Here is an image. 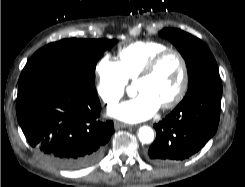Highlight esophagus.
<instances>
[{"label":"esophagus","mask_w":245,"mask_h":187,"mask_svg":"<svg viewBox=\"0 0 245 187\" xmlns=\"http://www.w3.org/2000/svg\"><path fill=\"white\" fill-rule=\"evenodd\" d=\"M114 127H115V129H120V128H127V127H129V125L115 121Z\"/></svg>","instance_id":"1"}]
</instances>
